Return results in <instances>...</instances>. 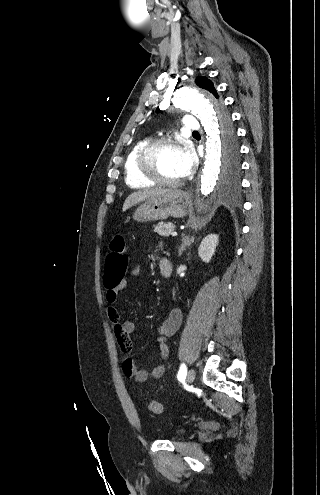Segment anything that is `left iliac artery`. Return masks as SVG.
<instances>
[{"label": "left iliac artery", "instance_id": "1", "mask_svg": "<svg viewBox=\"0 0 320 495\" xmlns=\"http://www.w3.org/2000/svg\"><path fill=\"white\" fill-rule=\"evenodd\" d=\"M186 372H187V368H186V365L183 363V364H181L178 375H177L178 379L179 380L184 379L186 376Z\"/></svg>", "mask_w": 320, "mask_h": 495}]
</instances>
